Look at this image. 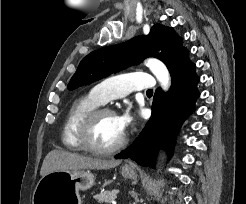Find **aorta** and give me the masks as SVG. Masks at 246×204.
Returning a JSON list of instances; mask_svg holds the SVG:
<instances>
[{"label":"aorta","mask_w":246,"mask_h":204,"mask_svg":"<svg viewBox=\"0 0 246 204\" xmlns=\"http://www.w3.org/2000/svg\"><path fill=\"white\" fill-rule=\"evenodd\" d=\"M145 65L150 69L156 79L159 81L161 87L167 91L170 87V75L166 66L155 58H149L145 61Z\"/></svg>","instance_id":"1"}]
</instances>
